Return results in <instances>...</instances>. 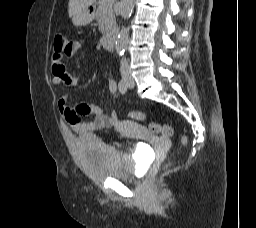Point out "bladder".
I'll list each match as a JSON object with an SVG mask.
<instances>
[{
    "instance_id": "bladder-1",
    "label": "bladder",
    "mask_w": 256,
    "mask_h": 228,
    "mask_svg": "<svg viewBox=\"0 0 256 228\" xmlns=\"http://www.w3.org/2000/svg\"><path fill=\"white\" fill-rule=\"evenodd\" d=\"M77 150L86 172L99 179H129L137 169L142 168L144 162V155L138 149L133 148L128 155H124L91 135L77 138Z\"/></svg>"
}]
</instances>
